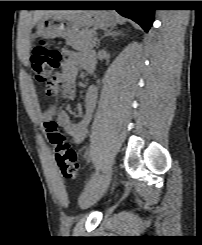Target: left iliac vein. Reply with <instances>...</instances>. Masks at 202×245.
<instances>
[{
    "label": "left iliac vein",
    "instance_id": "1",
    "mask_svg": "<svg viewBox=\"0 0 202 245\" xmlns=\"http://www.w3.org/2000/svg\"><path fill=\"white\" fill-rule=\"evenodd\" d=\"M112 177V171H108L99 177L96 185L86 194H82L79 204L82 208H88L95 204L107 191Z\"/></svg>",
    "mask_w": 202,
    "mask_h": 245
}]
</instances>
